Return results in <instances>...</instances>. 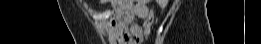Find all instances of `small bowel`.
Wrapping results in <instances>:
<instances>
[{
  "label": "small bowel",
  "mask_w": 261,
  "mask_h": 44,
  "mask_svg": "<svg viewBox=\"0 0 261 44\" xmlns=\"http://www.w3.org/2000/svg\"><path fill=\"white\" fill-rule=\"evenodd\" d=\"M136 2V6H116V9L111 11L107 29L113 43H142L143 30L138 21L147 16L148 8L146 2L142 0Z\"/></svg>",
  "instance_id": "small-bowel-1"
}]
</instances>
